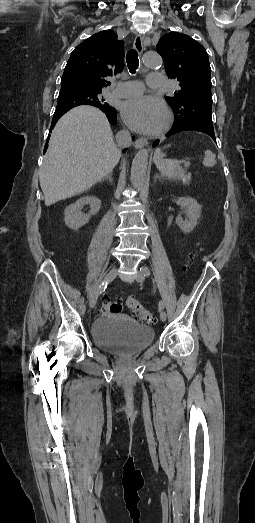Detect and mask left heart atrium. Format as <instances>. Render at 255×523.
<instances>
[{
  "instance_id": "39dd6f15",
  "label": "left heart atrium",
  "mask_w": 255,
  "mask_h": 523,
  "mask_svg": "<svg viewBox=\"0 0 255 523\" xmlns=\"http://www.w3.org/2000/svg\"><path fill=\"white\" fill-rule=\"evenodd\" d=\"M124 120L135 130L143 133L159 131L166 117L165 104L158 98L141 96L132 98L121 104Z\"/></svg>"
}]
</instances>
